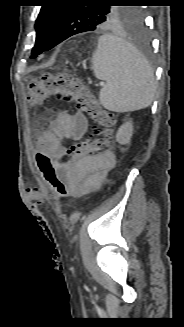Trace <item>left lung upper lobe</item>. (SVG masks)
<instances>
[{"instance_id":"obj_1","label":"left lung upper lobe","mask_w":184,"mask_h":327,"mask_svg":"<svg viewBox=\"0 0 184 327\" xmlns=\"http://www.w3.org/2000/svg\"><path fill=\"white\" fill-rule=\"evenodd\" d=\"M82 2L51 0V4L41 6L35 24L37 35L31 58H36L46 49L61 23L66 30L81 33L112 25L132 28L142 21L141 12L136 7L109 4L128 3L129 0H109L95 6H85Z\"/></svg>"}]
</instances>
